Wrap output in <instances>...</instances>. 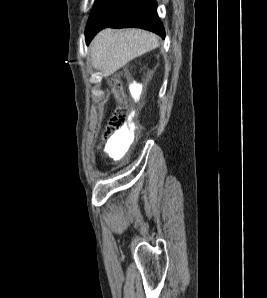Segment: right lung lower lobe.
<instances>
[{
  "label": "right lung lower lobe",
  "instance_id": "obj_1",
  "mask_svg": "<svg viewBox=\"0 0 267 298\" xmlns=\"http://www.w3.org/2000/svg\"><path fill=\"white\" fill-rule=\"evenodd\" d=\"M155 0H108L96 18L87 23V44L105 27H139L165 38L164 27L156 12Z\"/></svg>",
  "mask_w": 267,
  "mask_h": 298
}]
</instances>
